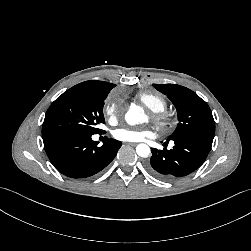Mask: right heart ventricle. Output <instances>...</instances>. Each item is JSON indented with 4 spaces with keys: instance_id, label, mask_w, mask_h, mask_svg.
I'll list each match as a JSON object with an SVG mask.
<instances>
[{
    "instance_id": "obj_1",
    "label": "right heart ventricle",
    "mask_w": 251,
    "mask_h": 251,
    "mask_svg": "<svg viewBox=\"0 0 251 251\" xmlns=\"http://www.w3.org/2000/svg\"><path fill=\"white\" fill-rule=\"evenodd\" d=\"M136 97L154 113H161L167 107L166 99L157 93L141 92L138 93Z\"/></svg>"
}]
</instances>
